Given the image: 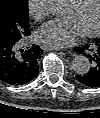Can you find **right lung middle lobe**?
<instances>
[{"label": "right lung middle lobe", "instance_id": "1", "mask_svg": "<svg viewBox=\"0 0 100 118\" xmlns=\"http://www.w3.org/2000/svg\"><path fill=\"white\" fill-rule=\"evenodd\" d=\"M29 34L28 0H0V42L18 40Z\"/></svg>", "mask_w": 100, "mask_h": 118}]
</instances>
